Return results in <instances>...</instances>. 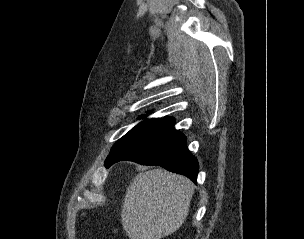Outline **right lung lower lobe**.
I'll list each match as a JSON object with an SVG mask.
<instances>
[{
  "label": "right lung lower lobe",
  "instance_id": "1",
  "mask_svg": "<svg viewBox=\"0 0 304 239\" xmlns=\"http://www.w3.org/2000/svg\"><path fill=\"white\" fill-rule=\"evenodd\" d=\"M120 160H130L143 165H159L187 176L196 182L198 161L186 147V137L174 128V121L109 154L106 167Z\"/></svg>",
  "mask_w": 304,
  "mask_h": 239
}]
</instances>
